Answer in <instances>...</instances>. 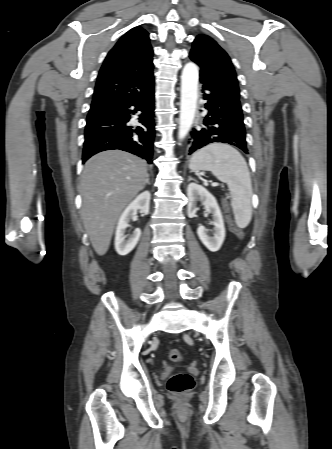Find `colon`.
Segmentation results:
<instances>
[{"label":"colon","instance_id":"1","mask_svg":"<svg viewBox=\"0 0 332 449\" xmlns=\"http://www.w3.org/2000/svg\"><path fill=\"white\" fill-rule=\"evenodd\" d=\"M223 207H224V213L225 218L229 222L231 228L235 232V234L238 236V238H243V232L235 227L231 221V211L229 208V204L226 200H223ZM169 359L173 362H181L183 359L182 353L176 349L172 348L169 350L168 353ZM168 390L175 395H182L189 391H191L194 387V379L193 377L186 372H178L173 374L167 383Z\"/></svg>","mask_w":332,"mask_h":449}]
</instances>
